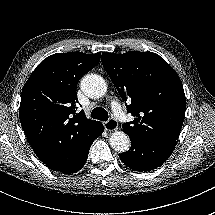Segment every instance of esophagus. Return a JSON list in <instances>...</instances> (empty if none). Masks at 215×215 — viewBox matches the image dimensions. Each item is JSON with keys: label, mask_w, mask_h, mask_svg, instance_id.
<instances>
[{"label": "esophagus", "mask_w": 215, "mask_h": 215, "mask_svg": "<svg viewBox=\"0 0 215 215\" xmlns=\"http://www.w3.org/2000/svg\"><path fill=\"white\" fill-rule=\"evenodd\" d=\"M118 121L114 118H109L107 121L104 122V128L106 131L114 132L118 130Z\"/></svg>", "instance_id": "obj_1"}]
</instances>
